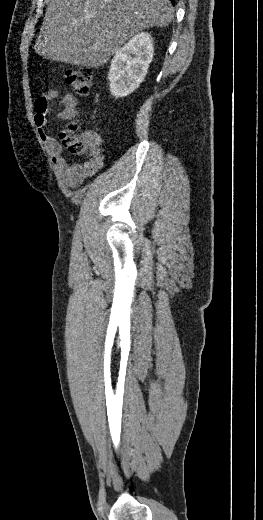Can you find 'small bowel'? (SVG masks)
Masks as SVG:
<instances>
[{"label": "small bowel", "instance_id": "obj_1", "mask_svg": "<svg viewBox=\"0 0 263 520\" xmlns=\"http://www.w3.org/2000/svg\"><path fill=\"white\" fill-rule=\"evenodd\" d=\"M78 100L73 94L61 95L57 90L42 93L34 102V123L39 135L52 157V163L59 172L66 186L75 188L87 178L98 172L103 165L101 138L98 133L87 131L84 137L95 148V156L91 160L69 164L62 156V147L54 137L48 134L47 116L55 108H59L57 118L70 120L76 112Z\"/></svg>", "mask_w": 263, "mask_h": 520}]
</instances>
